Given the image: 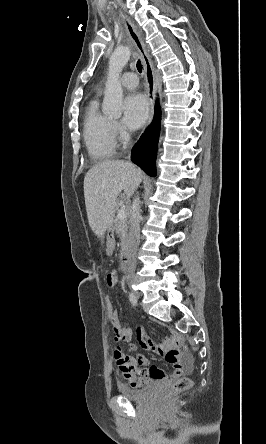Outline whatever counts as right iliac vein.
I'll return each instance as SVG.
<instances>
[{"instance_id": "obj_1", "label": "right iliac vein", "mask_w": 266, "mask_h": 444, "mask_svg": "<svg viewBox=\"0 0 266 444\" xmlns=\"http://www.w3.org/2000/svg\"><path fill=\"white\" fill-rule=\"evenodd\" d=\"M128 284H129L130 286L134 285V280L130 279V280L128 281ZM133 294L135 295L136 298H140V292H138V291H134Z\"/></svg>"}]
</instances>
